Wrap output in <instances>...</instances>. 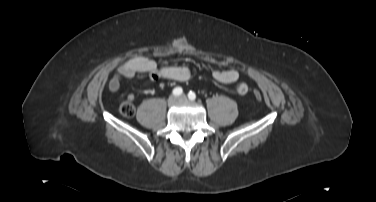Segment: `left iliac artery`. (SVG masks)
<instances>
[{
    "label": "left iliac artery",
    "mask_w": 376,
    "mask_h": 202,
    "mask_svg": "<svg viewBox=\"0 0 376 202\" xmlns=\"http://www.w3.org/2000/svg\"><path fill=\"white\" fill-rule=\"evenodd\" d=\"M188 98H189L190 100H195V99H196V94H195L193 91H190V92L188 93Z\"/></svg>",
    "instance_id": "obj_1"
}]
</instances>
